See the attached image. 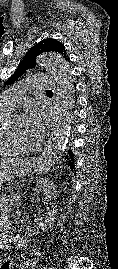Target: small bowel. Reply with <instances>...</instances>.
<instances>
[{
  "instance_id": "1",
  "label": "small bowel",
  "mask_w": 118,
  "mask_h": 269,
  "mask_svg": "<svg viewBox=\"0 0 118 269\" xmlns=\"http://www.w3.org/2000/svg\"><path fill=\"white\" fill-rule=\"evenodd\" d=\"M10 212L11 209L8 204H0V250L8 248L10 245L16 249L24 250L28 245L27 239L13 231Z\"/></svg>"
}]
</instances>
